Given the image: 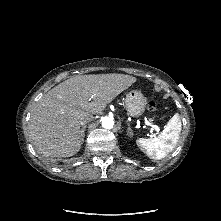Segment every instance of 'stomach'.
I'll return each mask as SVG.
<instances>
[{
  "instance_id": "obj_1",
  "label": "stomach",
  "mask_w": 221,
  "mask_h": 221,
  "mask_svg": "<svg viewBox=\"0 0 221 221\" xmlns=\"http://www.w3.org/2000/svg\"><path fill=\"white\" fill-rule=\"evenodd\" d=\"M146 108V98L139 90L130 91L125 98V109L129 116L139 117Z\"/></svg>"
}]
</instances>
